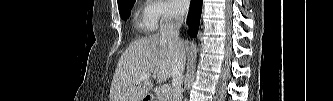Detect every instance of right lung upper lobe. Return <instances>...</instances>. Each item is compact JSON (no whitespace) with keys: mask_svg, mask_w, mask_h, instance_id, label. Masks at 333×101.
I'll return each instance as SVG.
<instances>
[{"mask_svg":"<svg viewBox=\"0 0 333 101\" xmlns=\"http://www.w3.org/2000/svg\"><path fill=\"white\" fill-rule=\"evenodd\" d=\"M122 1H124V0H117L118 4L121 3Z\"/></svg>","mask_w":333,"mask_h":101,"instance_id":"1","label":"right lung upper lobe"}]
</instances>
